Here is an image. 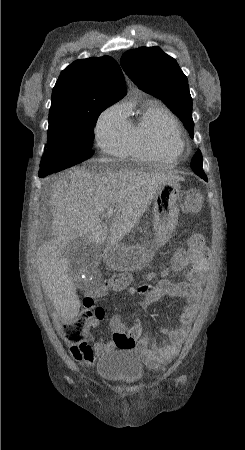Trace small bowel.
I'll return each mask as SVG.
<instances>
[{"mask_svg": "<svg viewBox=\"0 0 245 450\" xmlns=\"http://www.w3.org/2000/svg\"><path fill=\"white\" fill-rule=\"evenodd\" d=\"M185 266L191 267L186 275L187 279L185 282L175 283L167 279L166 276L169 273L179 272ZM209 270V256L203 257L191 249L183 250L182 248H177L172 255L170 265L165 270H162L158 276H150V278H155L156 282L154 284L138 286L127 284L124 287L114 288L104 286L97 292V296H102L108 290H125L129 296L144 297L142 302V306L144 307L154 306L165 296L186 298V304L178 315V324L165 330V339L162 342L157 343L152 341L150 333L146 332L138 339L136 345L133 347L147 367L155 369L160 364L168 363L177 356L189 332L192 319L199 310L202 286ZM55 284L59 288L67 289L68 295H71V286L68 281L55 280ZM52 317L55 328L65 341L70 354L77 362L85 364H92L96 355L103 356L117 347L122 348L115 335L125 330H131V328L121 322L117 315H114L111 319L113 336L110 340H97L93 344L88 341L86 344H83L68 338L61 329V324L66 320L74 318L75 313H67L63 307L53 312Z\"/></svg>", "mask_w": 245, "mask_h": 450, "instance_id": "obj_1", "label": "small bowel"}]
</instances>
